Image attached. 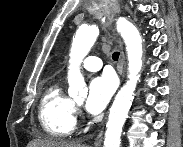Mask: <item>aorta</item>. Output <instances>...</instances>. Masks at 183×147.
Here are the masks:
<instances>
[{"label":"aorta","mask_w":183,"mask_h":147,"mask_svg":"<svg viewBox=\"0 0 183 147\" xmlns=\"http://www.w3.org/2000/svg\"><path fill=\"white\" fill-rule=\"evenodd\" d=\"M116 27L126 44L129 74L128 81L118 91L110 108L104 147H120L122 128L131 107V98L142 68V37L139 31L131 22L121 17L116 20ZM98 34L97 25H88L79 27L73 38L68 70V93L71 97L87 96L88 88L81 74L80 64L94 45Z\"/></svg>","instance_id":"obj_1"}]
</instances>
